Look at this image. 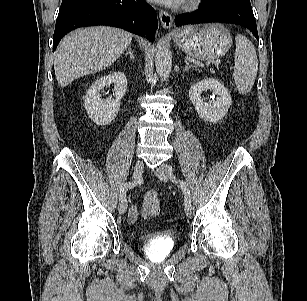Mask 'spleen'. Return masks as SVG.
<instances>
[{
	"label": "spleen",
	"mask_w": 307,
	"mask_h": 301,
	"mask_svg": "<svg viewBox=\"0 0 307 301\" xmlns=\"http://www.w3.org/2000/svg\"><path fill=\"white\" fill-rule=\"evenodd\" d=\"M236 49L234 54L233 77L236 87L241 94H247L253 87L258 71V60L254 45L244 35L235 37Z\"/></svg>",
	"instance_id": "spleen-1"
}]
</instances>
